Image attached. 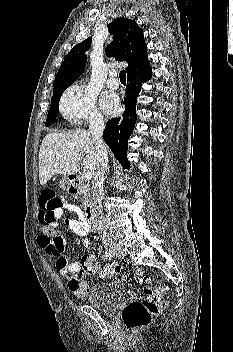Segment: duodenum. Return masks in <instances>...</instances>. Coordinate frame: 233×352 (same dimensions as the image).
Here are the masks:
<instances>
[{
  "mask_svg": "<svg viewBox=\"0 0 233 352\" xmlns=\"http://www.w3.org/2000/svg\"><path fill=\"white\" fill-rule=\"evenodd\" d=\"M68 188L72 194H78L82 191H89L90 187L84 185L76 176H70L68 179ZM85 218L91 228L95 227L96 206L90 203L85 211Z\"/></svg>",
  "mask_w": 233,
  "mask_h": 352,
  "instance_id": "410a0bca",
  "label": "duodenum"
}]
</instances>
